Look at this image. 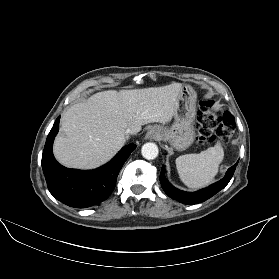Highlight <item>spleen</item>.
<instances>
[{"label": "spleen", "mask_w": 279, "mask_h": 279, "mask_svg": "<svg viewBox=\"0 0 279 279\" xmlns=\"http://www.w3.org/2000/svg\"><path fill=\"white\" fill-rule=\"evenodd\" d=\"M224 158V150L218 142L198 154H185L176 159L180 179L189 188H200L211 183Z\"/></svg>", "instance_id": "3e777b00"}]
</instances>
